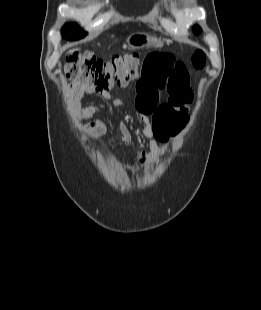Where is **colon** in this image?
<instances>
[{
	"label": "colon",
	"instance_id": "colon-1",
	"mask_svg": "<svg viewBox=\"0 0 261 310\" xmlns=\"http://www.w3.org/2000/svg\"><path fill=\"white\" fill-rule=\"evenodd\" d=\"M140 58L135 54H126L102 60L92 54H73L67 59L65 74L68 79L80 85L90 86L98 92L109 91L114 87H126L138 80ZM195 69H203L206 55L197 50L191 57Z\"/></svg>",
	"mask_w": 261,
	"mask_h": 310
}]
</instances>
